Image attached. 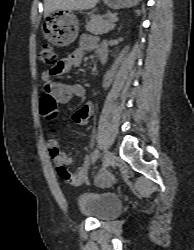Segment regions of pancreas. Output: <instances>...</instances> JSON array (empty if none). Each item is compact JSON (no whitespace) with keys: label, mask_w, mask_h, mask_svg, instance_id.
<instances>
[{"label":"pancreas","mask_w":194,"mask_h":250,"mask_svg":"<svg viewBox=\"0 0 194 250\" xmlns=\"http://www.w3.org/2000/svg\"><path fill=\"white\" fill-rule=\"evenodd\" d=\"M113 17L114 15L111 13H107L103 16L92 15L90 21L86 24V30L96 35L106 34L115 26V22L111 21Z\"/></svg>","instance_id":"obj_1"}]
</instances>
